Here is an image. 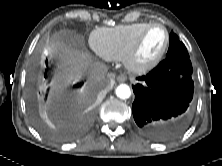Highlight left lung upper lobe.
<instances>
[{"mask_svg":"<svg viewBox=\"0 0 222 166\" xmlns=\"http://www.w3.org/2000/svg\"><path fill=\"white\" fill-rule=\"evenodd\" d=\"M169 39H170V44L166 55L167 57H173V56L189 57L185 45L183 44V42L179 40V37L175 33L171 32Z\"/></svg>","mask_w":222,"mask_h":166,"instance_id":"5c2ea615","label":"left lung upper lobe"}]
</instances>
